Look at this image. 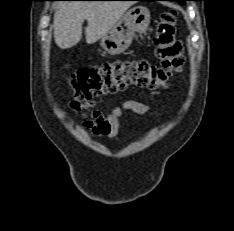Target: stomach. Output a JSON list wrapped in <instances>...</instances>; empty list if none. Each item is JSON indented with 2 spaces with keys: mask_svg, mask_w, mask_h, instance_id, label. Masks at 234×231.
<instances>
[{
  "mask_svg": "<svg viewBox=\"0 0 234 231\" xmlns=\"http://www.w3.org/2000/svg\"><path fill=\"white\" fill-rule=\"evenodd\" d=\"M150 12L137 6L125 12L117 24L101 38V47L110 55L123 53L132 43L135 33H144L150 24Z\"/></svg>",
  "mask_w": 234,
  "mask_h": 231,
  "instance_id": "1",
  "label": "stomach"
}]
</instances>
